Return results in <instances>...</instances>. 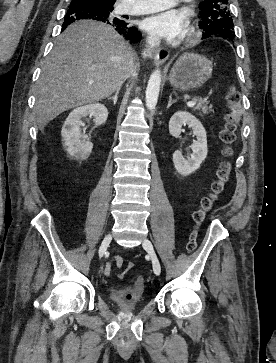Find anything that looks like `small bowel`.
I'll use <instances>...</instances> for the list:
<instances>
[{
	"label": "small bowel",
	"instance_id": "small-bowel-1",
	"mask_svg": "<svg viewBox=\"0 0 276 363\" xmlns=\"http://www.w3.org/2000/svg\"><path fill=\"white\" fill-rule=\"evenodd\" d=\"M123 265V258L120 255L114 256L111 260L106 263L104 273L109 275L111 273L112 266L121 267Z\"/></svg>",
	"mask_w": 276,
	"mask_h": 363
}]
</instances>
